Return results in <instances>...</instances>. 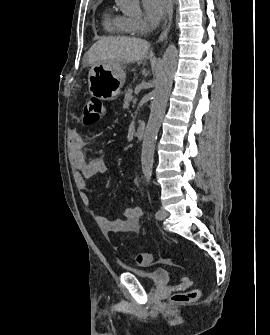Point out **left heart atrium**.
Wrapping results in <instances>:
<instances>
[{
  "instance_id": "obj_1",
  "label": "left heart atrium",
  "mask_w": 270,
  "mask_h": 335,
  "mask_svg": "<svg viewBox=\"0 0 270 335\" xmlns=\"http://www.w3.org/2000/svg\"><path fill=\"white\" fill-rule=\"evenodd\" d=\"M144 9L152 28L156 29L168 15L170 7L166 0H144Z\"/></svg>"
}]
</instances>
